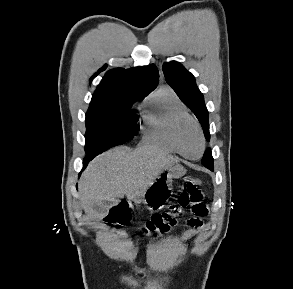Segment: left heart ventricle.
Returning a JSON list of instances; mask_svg holds the SVG:
<instances>
[{
    "instance_id": "obj_1",
    "label": "left heart ventricle",
    "mask_w": 293,
    "mask_h": 289,
    "mask_svg": "<svg viewBox=\"0 0 293 289\" xmlns=\"http://www.w3.org/2000/svg\"><path fill=\"white\" fill-rule=\"evenodd\" d=\"M180 143L183 151L189 156H197L201 150L199 133L193 123L183 126L180 133Z\"/></svg>"
}]
</instances>
